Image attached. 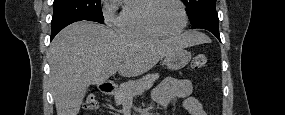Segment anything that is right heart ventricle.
<instances>
[{
	"label": "right heart ventricle",
	"mask_w": 285,
	"mask_h": 115,
	"mask_svg": "<svg viewBox=\"0 0 285 115\" xmlns=\"http://www.w3.org/2000/svg\"><path fill=\"white\" fill-rule=\"evenodd\" d=\"M152 0H130L122 7L116 19V27L124 34L139 38H158L147 24L145 14Z\"/></svg>",
	"instance_id": "e07e8e85"
}]
</instances>
